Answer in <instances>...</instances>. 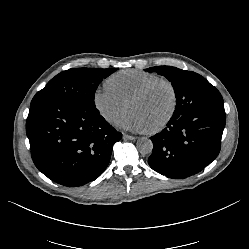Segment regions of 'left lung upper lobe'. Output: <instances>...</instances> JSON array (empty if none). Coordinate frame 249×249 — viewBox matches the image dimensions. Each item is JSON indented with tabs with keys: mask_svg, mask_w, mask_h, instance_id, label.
<instances>
[{
	"mask_svg": "<svg viewBox=\"0 0 249 249\" xmlns=\"http://www.w3.org/2000/svg\"><path fill=\"white\" fill-rule=\"evenodd\" d=\"M145 71L156 72L172 83L177 99L172 117L178 118L202 107L224 105L220 92L197 73L171 66H155Z\"/></svg>",
	"mask_w": 249,
	"mask_h": 249,
	"instance_id": "left-lung-upper-lobe-1",
	"label": "left lung upper lobe"
}]
</instances>
